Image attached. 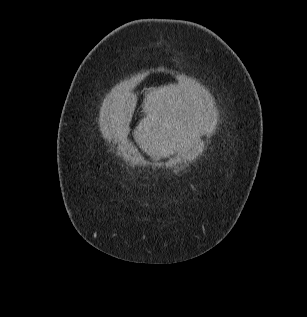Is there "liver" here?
I'll list each match as a JSON object with an SVG mask.
<instances>
[{
	"label": "liver",
	"mask_w": 307,
	"mask_h": 317,
	"mask_svg": "<svg viewBox=\"0 0 307 317\" xmlns=\"http://www.w3.org/2000/svg\"><path fill=\"white\" fill-rule=\"evenodd\" d=\"M134 95H109L102 113L109 128L119 139L126 138L136 107ZM208 105L192 84H168L146 89L142 104L144 118L134 137L142 147L140 153L161 158L186 150L203 135L209 125Z\"/></svg>",
	"instance_id": "1"
}]
</instances>
